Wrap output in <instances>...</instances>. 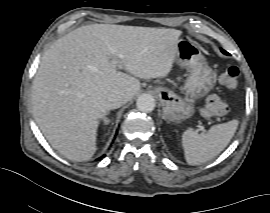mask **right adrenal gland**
Segmentation results:
<instances>
[{"label": "right adrenal gland", "mask_w": 270, "mask_h": 213, "mask_svg": "<svg viewBox=\"0 0 270 213\" xmlns=\"http://www.w3.org/2000/svg\"><path fill=\"white\" fill-rule=\"evenodd\" d=\"M110 120L108 118H104V124H109Z\"/></svg>", "instance_id": "1"}]
</instances>
